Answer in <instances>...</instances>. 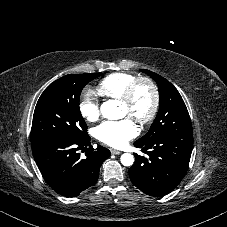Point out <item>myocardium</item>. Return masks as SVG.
Listing matches in <instances>:
<instances>
[{
    "label": "myocardium",
    "mask_w": 227,
    "mask_h": 227,
    "mask_svg": "<svg viewBox=\"0 0 227 227\" xmlns=\"http://www.w3.org/2000/svg\"><path fill=\"white\" fill-rule=\"evenodd\" d=\"M141 85H147L152 92V105L148 113L138 118L136 121L140 125H145L152 121L156 116L159 104H160V94L157 85L148 77H139L134 80L125 90L124 94L120 98V102L124 105L131 106L135 100L137 91Z\"/></svg>",
    "instance_id": "myocardium-1"
}]
</instances>
